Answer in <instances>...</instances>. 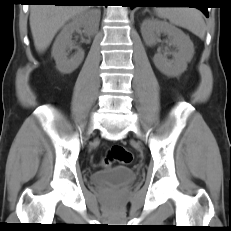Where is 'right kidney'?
<instances>
[{"label": "right kidney", "mask_w": 231, "mask_h": 231, "mask_svg": "<svg viewBox=\"0 0 231 231\" xmlns=\"http://www.w3.org/2000/svg\"><path fill=\"white\" fill-rule=\"evenodd\" d=\"M99 21L100 11L88 10L77 15L62 28L52 47V56L60 72L64 74L72 73L84 59V51L79 48L73 56L68 58L67 50L73 44L72 34L83 28L85 34L92 36L98 31Z\"/></svg>", "instance_id": "ca27d5eb"}]
</instances>
